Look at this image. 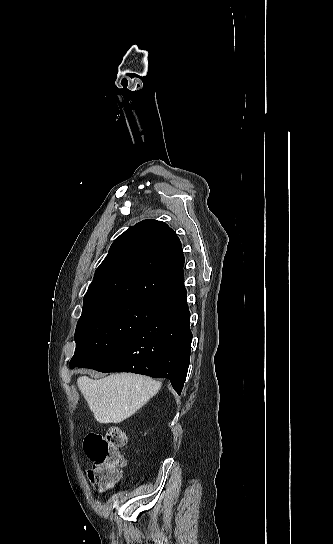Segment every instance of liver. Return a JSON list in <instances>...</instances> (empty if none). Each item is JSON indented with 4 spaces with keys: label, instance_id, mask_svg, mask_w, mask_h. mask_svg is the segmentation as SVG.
<instances>
[{
    "label": "liver",
    "instance_id": "obj_1",
    "mask_svg": "<svg viewBox=\"0 0 333 544\" xmlns=\"http://www.w3.org/2000/svg\"><path fill=\"white\" fill-rule=\"evenodd\" d=\"M77 385L102 424L121 423L132 416L161 388L150 377L129 373L112 374L99 380L79 377Z\"/></svg>",
    "mask_w": 333,
    "mask_h": 544
}]
</instances>
